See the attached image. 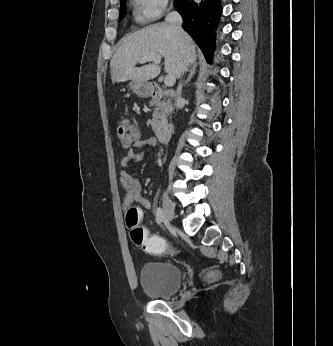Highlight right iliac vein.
<instances>
[{"instance_id": "63e3f726", "label": "right iliac vein", "mask_w": 333, "mask_h": 346, "mask_svg": "<svg viewBox=\"0 0 333 346\" xmlns=\"http://www.w3.org/2000/svg\"><path fill=\"white\" fill-rule=\"evenodd\" d=\"M163 214L165 221L171 223L174 219V205L166 193L163 195Z\"/></svg>"}]
</instances>
